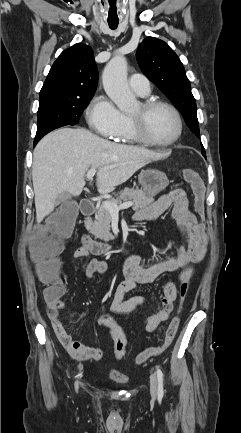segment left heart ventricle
I'll return each mask as SVG.
<instances>
[{"label": "left heart ventricle", "mask_w": 241, "mask_h": 433, "mask_svg": "<svg viewBox=\"0 0 241 433\" xmlns=\"http://www.w3.org/2000/svg\"><path fill=\"white\" fill-rule=\"evenodd\" d=\"M130 114L140 116L142 114L140 104H138ZM145 124L148 135L158 142L170 141L177 133V121L175 116L165 107H158L152 110L147 115Z\"/></svg>", "instance_id": "b2bd125f"}]
</instances>
